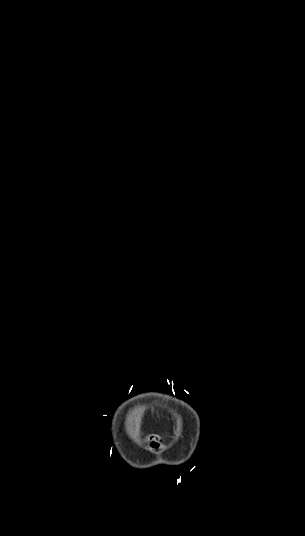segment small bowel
I'll return each instance as SVG.
<instances>
[{"instance_id":"1","label":"small bowel","mask_w":305,"mask_h":536,"mask_svg":"<svg viewBox=\"0 0 305 536\" xmlns=\"http://www.w3.org/2000/svg\"><path fill=\"white\" fill-rule=\"evenodd\" d=\"M146 439L150 441V445L153 448H157L159 446V438L153 437V436H147Z\"/></svg>"}]
</instances>
